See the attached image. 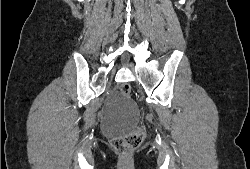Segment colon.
<instances>
[{"label":"colon","mask_w":250,"mask_h":169,"mask_svg":"<svg viewBox=\"0 0 250 169\" xmlns=\"http://www.w3.org/2000/svg\"><path fill=\"white\" fill-rule=\"evenodd\" d=\"M121 93L126 97H131L133 88H130L128 84H123L120 87ZM143 139H146V130L144 126H137L136 130L130 134H120L115 138H111L109 145L111 150H116L118 155H127L125 161H120L118 169H134L131 156L133 151L137 150V147L143 143Z\"/></svg>","instance_id":"obj_1"}]
</instances>
